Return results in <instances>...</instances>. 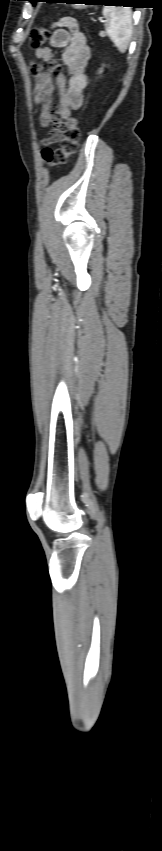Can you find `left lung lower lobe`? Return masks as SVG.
Here are the masks:
<instances>
[{"mask_svg": "<svg viewBox=\"0 0 162 851\" xmlns=\"http://www.w3.org/2000/svg\"><path fill=\"white\" fill-rule=\"evenodd\" d=\"M39 1L56 2V0H37V2H39ZM97 1H99L100 3H104V5H117V6L122 5L124 7L128 6L129 4L135 3V0H97Z\"/></svg>", "mask_w": 162, "mask_h": 851, "instance_id": "obj_1", "label": "left lung lower lobe"}]
</instances>
